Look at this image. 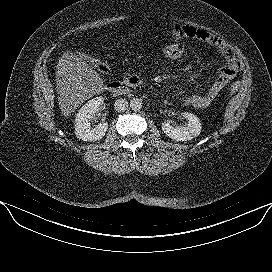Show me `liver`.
Here are the masks:
<instances>
[{
    "mask_svg": "<svg viewBox=\"0 0 272 272\" xmlns=\"http://www.w3.org/2000/svg\"><path fill=\"white\" fill-rule=\"evenodd\" d=\"M56 89L62 115L68 117L104 88L100 74L76 54L65 52L56 66Z\"/></svg>",
    "mask_w": 272,
    "mask_h": 272,
    "instance_id": "obj_1",
    "label": "liver"
}]
</instances>
